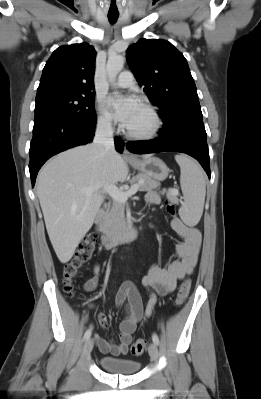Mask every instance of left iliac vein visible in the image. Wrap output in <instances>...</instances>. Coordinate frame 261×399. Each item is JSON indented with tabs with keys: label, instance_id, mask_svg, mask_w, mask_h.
I'll return each mask as SVG.
<instances>
[{
	"label": "left iliac vein",
	"instance_id": "left-iliac-vein-1",
	"mask_svg": "<svg viewBox=\"0 0 261 399\" xmlns=\"http://www.w3.org/2000/svg\"><path fill=\"white\" fill-rule=\"evenodd\" d=\"M148 352L150 357L154 360L157 361L158 359V348L155 343H151L148 347Z\"/></svg>",
	"mask_w": 261,
	"mask_h": 399
}]
</instances>
